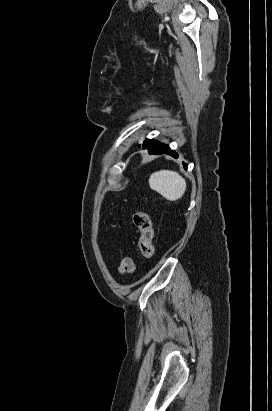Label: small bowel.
Instances as JSON below:
<instances>
[{
    "label": "small bowel",
    "mask_w": 272,
    "mask_h": 411,
    "mask_svg": "<svg viewBox=\"0 0 272 411\" xmlns=\"http://www.w3.org/2000/svg\"><path fill=\"white\" fill-rule=\"evenodd\" d=\"M135 265L131 258H124L120 264V272L122 273H129L134 271Z\"/></svg>",
    "instance_id": "c3829d8e"
}]
</instances>
